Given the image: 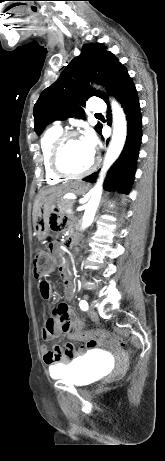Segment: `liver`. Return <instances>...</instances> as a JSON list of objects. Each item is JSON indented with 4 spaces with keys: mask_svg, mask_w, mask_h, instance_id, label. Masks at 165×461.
<instances>
[{
    "mask_svg": "<svg viewBox=\"0 0 165 461\" xmlns=\"http://www.w3.org/2000/svg\"><path fill=\"white\" fill-rule=\"evenodd\" d=\"M66 187H63V186H60V187H52V188H48L46 190H41L39 192V194L36 196V199L34 201V206H33V225L35 226L36 225V222H37V218H38V215H39V209H40V203H41V200L47 196V195H50V194H61L63 192V190L65 189Z\"/></svg>",
    "mask_w": 165,
    "mask_h": 461,
    "instance_id": "1",
    "label": "liver"
}]
</instances>
